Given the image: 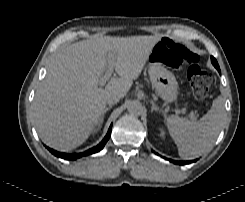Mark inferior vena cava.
<instances>
[{"label": "inferior vena cava", "instance_id": "inferior-vena-cava-1", "mask_svg": "<svg viewBox=\"0 0 245 202\" xmlns=\"http://www.w3.org/2000/svg\"><path fill=\"white\" fill-rule=\"evenodd\" d=\"M122 98V94L120 92H111L106 96V104L108 105H114L117 102H119V100Z\"/></svg>", "mask_w": 245, "mask_h": 202}]
</instances>
